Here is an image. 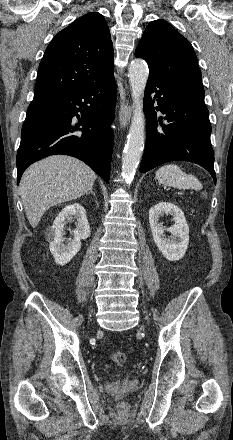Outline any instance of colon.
<instances>
[{"instance_id": "5ec220e1", "label": "colon", "mask_w": 233, "mask_h": 440, "mask_svg": "<svg viewBox=\"0 0 233 440\" xmlns=\"http://www.w3.org/2000/svg\"><path fill=\"white\" fill-rule=\"evenodd\" d=\"M205 195V193H203V196ZM112 359L113 361L118 365V366H122L125 364L126 360H127V355L122 352V351H115L112 353ZM126 409V404L125 403H121L119 405V410H125Z\"/></svg>"}]
</instances>
